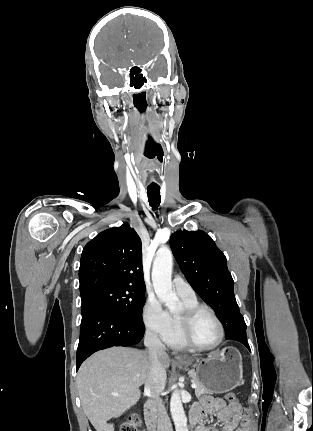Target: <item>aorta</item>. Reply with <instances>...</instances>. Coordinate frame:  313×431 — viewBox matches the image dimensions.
Returning a JSON list of instances; mask_svg holds the SVG:
<instances>
[{
    "label": "aorta",
    "mask_w": 313,
    "mask_h": 431,
    "mask_svg": "<svg viewBox=\"0 0 313 431\" xmlns=\"http://www.w3.org/2000/svg\"><path fill=\"white\" fill-rule=\"evenodd\" d=\"M173 255L171 250L161 247L153 262L152 282L156 295L168 307L169 310L178 309L179 299L172 290L171 274ZM170 411L176 431H188L187 418L183 409L179 391L176 389L170 399Z\"/></svg>",
    "instance_id": "aorta-1"
}]
</instances>
